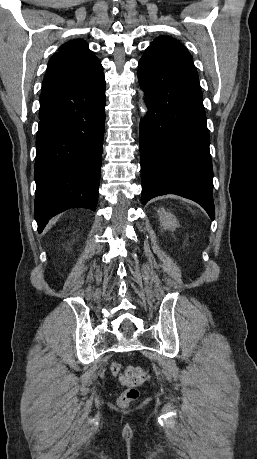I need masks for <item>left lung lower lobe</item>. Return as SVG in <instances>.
Masks as SVG:
<instances>
[{"instance_id": "0a47b994", "label": "left lung lower lobe", "mask_w": 257, "mask_h": 459, "mask_svg": "<svg viewBox=\"0 0 257 459\" xmlns=\"http://www.w3.org/2000/svg\"><path fill=\"white\" fill-rule=\"evenodd\" d=\"M138 80L148 107L139 133L143 204L176 194L199 203L213 220L210 139L192 59L144 54Z\"/></svg>"}]
</instances>
